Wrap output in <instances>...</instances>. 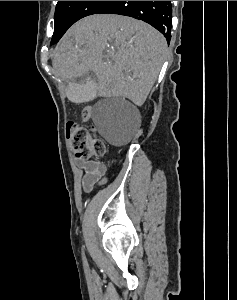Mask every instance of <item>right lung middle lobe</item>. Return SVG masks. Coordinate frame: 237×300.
Returning a JSON list of instances; mask_svg holds the SVG:
<instances>
[{"label":"right lung middle lobe","mask_w":237,"mask_h":300,"mask_svg":"<svg viewBox=\"0 0 237 300\" xmlns=\"http://www.w3.org/2000/svg\"><path fill=\"white\" fill-rule=\"evenodd\" d=\"M107 1H58L51 44L57 43L68 28L79 19L95 14Z\"/></svg>","instance_id":"dd1d6c3e"}]
</instances>
